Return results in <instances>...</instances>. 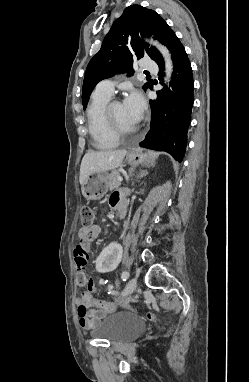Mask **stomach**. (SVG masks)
<instances>
[{"instance_id":"1","label":"stomach","mask_w":249,"mask_h":382,"mask_svg":"<svg viewBox=\"0 0 249 382\" xmlns=\"http://www.w3.org/2000/svg\"><path fill=\"white\" fill-rule=\"evenodd\" d=\"M152 155L149 153H143L140 150H134L127 154V162L130 165H138L144 161H150ZM108 176L103 171L91 173L85 179L82 185V194L87 200H99L107 192Z\"/></svg>"}]
</instances>
